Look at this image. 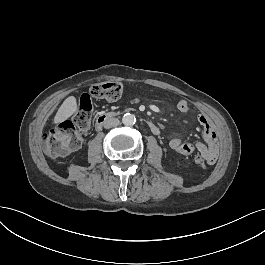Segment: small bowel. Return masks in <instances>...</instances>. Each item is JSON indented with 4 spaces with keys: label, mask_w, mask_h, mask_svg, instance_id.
Instances as JSON below:
<instances>
[{
    "label": "small bowel",
    "mask_w": 265,
    "mask_h": 265,
    "mask_svg": "<svg viewBox=\"0 0 265 265\" xmlns=\"http://www.w3.org/2000/svg\"><path fill=\"white\" fill-rule=\"evenodd\" d=\"M177 109L182 113H188L191 110V105L187 100L181 99L177 102ZM197 120L203 128L206 143L183 142L179 138H173L169 142V147L173 151L183 155H191L197 151L205 158L207 164L212 165L218 158V145L215 132L211 121L206 116L199 114Z\"/></svg>",
    "instance_id": "1"
}]
</instances>
